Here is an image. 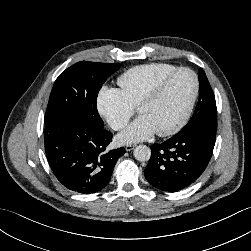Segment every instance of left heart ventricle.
Returning a JSON list of instances; mask_svg holds the SVG:
<instances>
[{"mask_svg": "<svg viewBox=\"0 0 251 251\" xmlns=\"http://www.w3.org/2000/svg\"><path fill=\"white\" fill-rule=\"evenodd\" d=\"M194 91V79L189 73L176 75L160 96L142 107L139 114L145 116L155 131L173 127L183 116Z\"/></svg>", "mask_w": 251, "mask_h": 251, "instance_id": "left-heart-ventricle-1", "label": "left heart ventricle"}]
</instances>
